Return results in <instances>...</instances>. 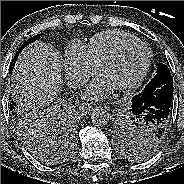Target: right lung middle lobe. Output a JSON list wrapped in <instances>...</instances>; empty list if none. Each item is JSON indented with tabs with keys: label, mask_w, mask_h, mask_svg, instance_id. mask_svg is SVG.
Segmentation results:
<instances>
[{
	"label": "right lung middle lobe",
	"mask_w": 184,
	"mask_h": 184,
	"mask_svg": "<svg viewBox=\"0 0 184 184\" xmlns=\"http://www.w3.org/2000/svg\"><path fill=\"white\" fill-rule=\"evenodd\" d=\"M40 36L37 34L31 37L19 48L10 64V74L19 53ZM10 99L15 126L26 148L42 162L54 163L57 160L53 151L55 144L72 139L62 113L55 110L40 111L39 107L28 106L18 98Z\"/></svg>",
	"instance_id": "1"
}]
</instances>
